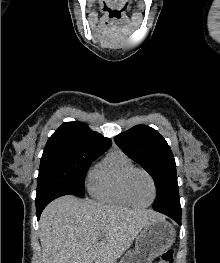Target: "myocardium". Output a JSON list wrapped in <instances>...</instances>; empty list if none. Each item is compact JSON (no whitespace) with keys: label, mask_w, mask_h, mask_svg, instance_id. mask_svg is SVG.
<instances>
[{"label":"myocardium","mask_w":220,"mask_h":263,"mask_svg":"<svg viewBox=\"0 0 220 263\" xmlns=\"http://www.w3.org/2000/svg\"><path fill=\"white\" fill-rule=\"evenodd\" d=\"M138 172L143 173L144 175H146L147 178L149 179L150 183H151V186H152V198L146 204H138V203H136L134 201V199L132 198L131 193H130V181H131L133 175L138 173ZM123 191H124L125 197L131 203V205H133L135 207H139V208H145V207L150 206L155 201L156 195H157L156 182H155L153 176L147 170H145L143 168H137V167L132 168L125 175L124 180H123Z\"/></svg>","instance_id":"1"}]
</instances>
